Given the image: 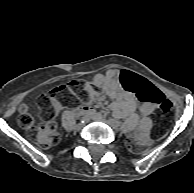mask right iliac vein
I'll list each match as a JSON object with an SVG mask.
<instances>
[{"mask_svg": "<svg viewBox=\"0 0 194 193\" xmlns=\"http://www.w3.org/2000/svg\"><path fill=\"white\" fill-rule=\"evenodd\" d=\"M86 120L76 125L77 130H81L85 126Z\"/></svg>", "mask_w": 194, "mask_h": 193, "instance_id": "right-iliac-vein-1", "label": "right iliac vein"}]
</instances>
